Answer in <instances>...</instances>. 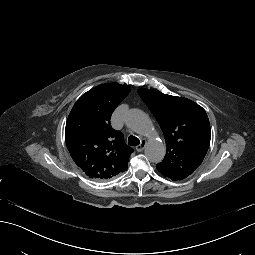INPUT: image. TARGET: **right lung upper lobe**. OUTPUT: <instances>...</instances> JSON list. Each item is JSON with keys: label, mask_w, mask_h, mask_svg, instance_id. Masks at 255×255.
Returning a JSON list of instances; mask_svg holds the SVG:
<instances>
[{"label": "right lung upper lobe", "mask_w": 255, "mask_h": 255, "mask_svg": "<svg viewBox=\"0 0 255 255\" xmlns=\"http://www.w3.org/2000/svg\"><path fill=\"white\" fill-rule=\"evenodd\" d=\"M129 92L127 85L101 84L83 94L69 114L66 145L89 178L111 179L128 168L133 150L124 143L122 133L111 127L110 118Z\"/></svg>", "instance_id": "obj_1"}]
</instances>
